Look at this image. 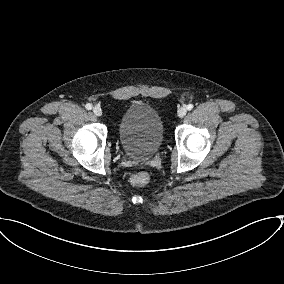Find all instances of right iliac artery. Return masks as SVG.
<instances>
[{
	"instance_id": "82829eb1",
	"label": "right iliac artery",
	"mask_w": 284,
	"mask_h": 284,
	"mask_svg": "<svg viewBox=\"0 0 284 284\" xmlns=\"http://www.w3.org/2000/svg\"><path fill=\"white\" fill-rule=\"evenodd\" d=\"M85 108L87 110H91L92 109V105L90 103H88V104L85 105Z\"/></svg>"
}]
</instances>
